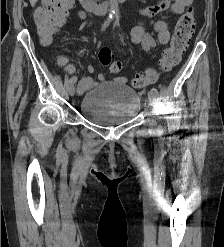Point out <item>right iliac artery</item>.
Masks as SVG:
<instances>
[{
	"label": "right iliac artery",
	"mask_w": 224,
	"mask_h": 247,
	"mask_svg": "<svg viewBox=\"0 0 224 247\" xmlns=\"http://www.w3.org/2000/svg\"><path fill=\"white\" fill-rule=\"evenodd\" d=\"M110 23V20H106L102 26V31H104L106 29V27L109 25ZM77 81V77L76 76H73L71 79H70V84H74L75 82Z\"/></svg>",
	"instance_id": "1"
}]
</instances>
